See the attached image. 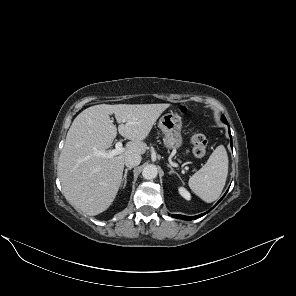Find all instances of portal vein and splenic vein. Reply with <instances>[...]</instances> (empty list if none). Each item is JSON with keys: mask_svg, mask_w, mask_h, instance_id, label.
I'll return each mask as SVG.
<instances>
[{"mask_svg": "<svg viewBox=\"0 0 296 296\" xmlns=\"http://www.w3.org/2000/svg\"><path fill=\"white\" fill-rule=\"evenodd\" d=\"M123 152V144L121 141H118L115 145V149L104 152V151H95L94 155L96 156H101V157H106V158H112L116 155H119L120 153Z\"/></svg>", "mask_w": 296, "mask_h": 296, "instance_id": "portal-vein-and-splenic-vein-1", "label": "portal vein and splenic vein"}]
</instances>
